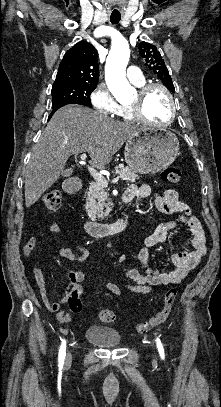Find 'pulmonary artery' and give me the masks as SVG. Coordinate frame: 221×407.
Wrapping results in <instances>:
<instances>
[{
    "instance_id": "obj_1",
    "label": "pulmonary artery",
    "mask_w": 221,
    "mask_h": 407,
    "mask_svg": "<svg viewBox=\"0 0 221 407\" xmlns=\"http://www.w3.org/2000/svg\"><path fill=\"white\" fill-rule=\"evenodd\" d=\"M127 77L135 85H140V84L144 83V81H145L141 70L137 66H134V65L129 66L128 71H127Z\"/></svg>"
}]
</instances>
